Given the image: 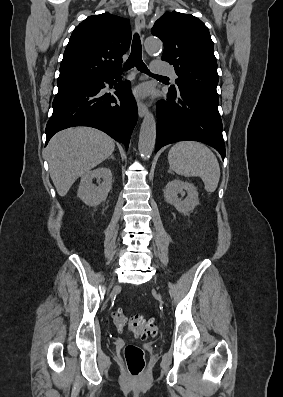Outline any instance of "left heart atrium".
I'll return each instance as SVG.
<instances>
[{
	"instance_id": "39dd6f15",
	"label": "left heart atrium",
	"mask_w": 283,
	"mask_h": 397,
	"mask_svg": "<svg viewBox=\"0 0 283 397\" xmlns=\"http://www.w3.org/2000/svg\"><path fill=\"white\" fill-rule=\"evenodd\" d=\"M149 93V89L145 86H140L135 90V94L138 97H145Z\"/></svg>"
}]
</instances>
